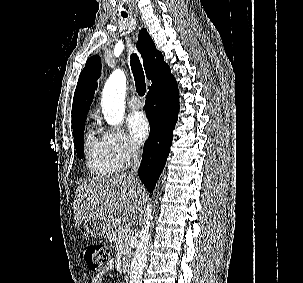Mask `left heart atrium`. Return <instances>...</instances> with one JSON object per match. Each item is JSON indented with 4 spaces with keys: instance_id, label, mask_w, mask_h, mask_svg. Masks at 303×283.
I'll list each match as a JSON object with an SVG mask.
<instances>
[{
    "instance_id": "39dd6f15",
    "label": "left heart atrium",
    "mask_w": 303,
    "mask_h": 283,
    "mask_svg": "<svg viewBox=\"0 0 303 283\" xmlns=\"http://www.w3.org/2000/svg\"><path fill=\"white\" fill-rule=\"evenodd\" d=\"M128 129L132 139L141 144L143 143L150 132V126L146 115L142 112H136L128 118Z\"/></svg>"
}]
</instances>
